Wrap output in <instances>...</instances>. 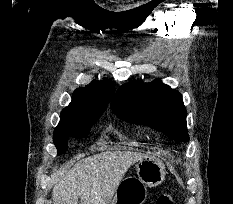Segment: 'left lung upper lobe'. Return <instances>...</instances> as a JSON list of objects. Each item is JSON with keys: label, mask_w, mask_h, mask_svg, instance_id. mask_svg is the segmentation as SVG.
Instances as JSON below:
<instances>
[{"label": "left lung upper lobe", "mask_w": 233, "mask_h": 204, "mask_svg": "<svg viewBox=\"0 0 233 204\" xmlns=\"http://www.w3.org/2000/svg\"><path fill=\"white\" fill-rule=\"evenodd\" d=\"M111 109L123 121L152 127L173 140H189L182 96L160 79L122 85Z\"/></svg>", "instance_id": "left-lung-upper-lobe-1"}]
</instances>
